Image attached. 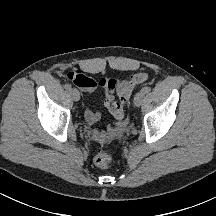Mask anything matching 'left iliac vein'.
<instances>
[{
	"label": "left iliac vein",
	"mask_w": 216,
	"mask_h": 216,
	"mask_svg": "<svg viewBox=\"0 0 216 216\" xmlns=\"http://www.w3.org/2000/svg\"><path fill=\"white\" fill-rule=\"evenodd\" d=\"M144 98V93L142 91L138 92L134 97V105L139 107L142 104Z\"/></svg>",
	"instance_id": "obj_1"
}]
</instances>
